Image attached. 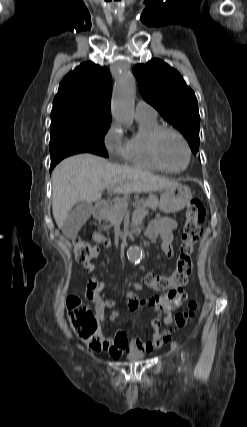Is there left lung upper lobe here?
Masks as SVG:
<instances>
[{"instance_id": "obj_1", "label": "left lung upper lobe", "mask_w": 247, "mask_h": 427, "mask_svg": "<svg viewBox=\"0 0 247 427\" xmlns=\"http://www.w3.org/2000/svg\"><path fill=\"white\" fill-rule=\"evenodd\" d=\"M133 73L142 97L185 136L193 154H197L200 126L198 103L182 76L159 59L136 65Z\"/></svg>"}]
</instances>
